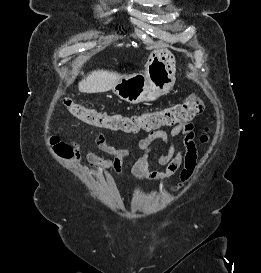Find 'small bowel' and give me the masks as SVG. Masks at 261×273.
Returning <instances> with one entry per match:
<instances>
[{
    "label": "small bowel",
    "mask_w": 261,
    "mask_h": 273,
    "mask_svg": "<svg viewBox=\"0 0 261 273\" xmlns=\"http://www.w3.org/2000/svg\"><path fill=\"white\" fill-rule=\"evenodd\" d=\"M92 136L98 148L110 155L111 159L101 158L88 148H81L76 144L73 145L72 149L76 160L85 159L93 170L100 173L112 171L116 175L121 176L124 161L133 157L136 153H140L139 158L134 162L131 169L135 180H162L172 176L183 165L180 173L181 183L179 187H181L190 180L197 166L198 150L195 143L193 123L175 125L169 133L162 130H153L138 142L136 148L113 147L96 130L92 131ZM177 138H180L182 141L180 149H177L174 144V140ZM157 140H161L166 145L165 152L158 159V163L165 167L161 171L149 169V163L153 154V143ZM179 187H176L175 190Z\"/></svg>",
    "instance_id": "small-bowel-1"
}]
</instances>
